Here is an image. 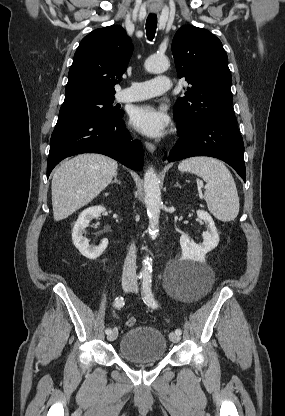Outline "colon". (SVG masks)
I'll use <instances>...</instances> for the list:
<instances>
[{"mask_svg": "<svg viewBox=\"0 0 285 416\" xmlns=\"http://www.w3.org/2000/svg\"><path fill=\"white\" fill-rule=\"evenodd\" d=\"M136 323H137V321H136V319H135L134 317H131V318H129V319L126 321V325H127L128 327H133V326H135V325H136Z\"/></svg>", "mask_w": 285, "mask_h": 416, "instance_id": "1", "label": "colon"}]
</instances>
